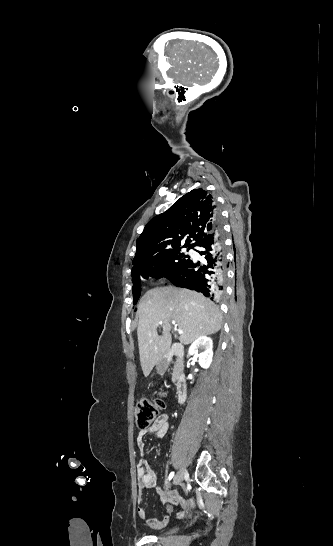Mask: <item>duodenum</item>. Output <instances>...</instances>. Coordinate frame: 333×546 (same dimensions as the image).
I'll return each instance as SVG.
<instances>
[{"mask_svg": "<svg viewBox=\"0 0 333 546\" xmlns=\"http://www.w3.org/2000/svg\"><path fill=\"white\" fill-rule=\"evenodd\" d=\"M184 356V349L181 345L173 344L168 352L166 357L168 359H175L174 367V379H175V389L176 397L179 403L185 401L188 392V386L184 375L181 370V363Z\"/></svg>", "mask_w": 333, "mask_h": 546, "instance_id": "1", "label": "duodenum"}]
</instances>
